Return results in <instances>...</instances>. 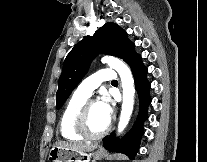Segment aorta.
<instances>
[{"instance_id": "1", "label": "aorta", "mask_w": 207, "mask_h": 162, "mask_svg": "<svg viewBox=\"0 0 207 162\" xmlns=\"http://www.w3.org/2000/svg\"><path fill=\"white\" fill-rule=\"evenodd\" d=\"M102 63H107L111 68L115 69L120 76L123 89V102L118 123V133H122L128 125L133 111L135 86L132 73L129 67L120 59L107 56L102 59Z\"/></svg>"}]
</instances>
